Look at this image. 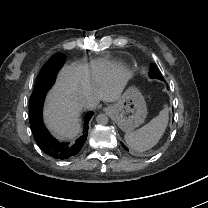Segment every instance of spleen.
<instances>
[{
	"mask_svg": "<svg viewBox=\"0 0 208 208\" xmlns=\"http://www.w3.org/2000/svg\"><path fill=\"white\" fill-rule=\"evenodd\" d=\"M169 120V108L164 109L149 123L140 129L125 134L124 139L127 145L135 151L144 152L155 146L164 134Z\"/></svg>",
	"mask_w": 208,
	"mask_h": 208,
	"instance_id": "1",
	"label": "spleen"
}]
</instances>
